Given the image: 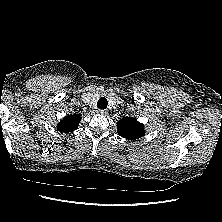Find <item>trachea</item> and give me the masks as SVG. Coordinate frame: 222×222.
<instances>
[{
	"mask_svg": "<svg viewBox=\"0 0 222 222\" xmlns=\"http://www.w3.org/2000/svg\"><path fill=\"white\" fill-rule=\"evenodd\" d=\"M108 105V101L105 97H101L97 102V107L100 109H106Z\"/></svg>",
	"mask_w": 222,
	"mask_h": 222,
	"instance_id": "1",
	"label": "trachea"
}]
</instances>
